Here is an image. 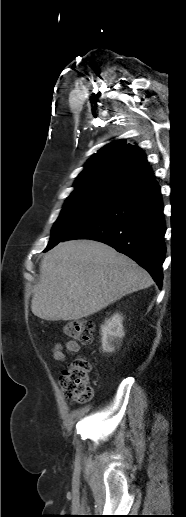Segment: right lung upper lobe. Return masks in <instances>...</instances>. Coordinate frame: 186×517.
Here are the masks:
<instances>
[{"mask_svg": "<svg viewBox=\"0 0 186 517\" xmlns=\"http://www.w3.org/2000/svg\"><path fill=\"white\" fill-rule=\"evenodd\" d=\"M154 184V174L143 151L125 140H117L105 145L87 161L69 197L118 201Z\"/></svg>", "mask_w": 186, "mask_h": 517, "instance_id": "cb5924a9", "label": "right lung upper lobe"}]
</instances>
